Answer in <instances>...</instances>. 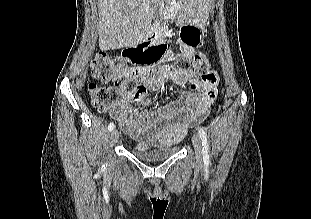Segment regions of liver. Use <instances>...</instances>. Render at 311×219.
Masks as SVG:
<instances>
[{"label":"liver","instance_id":"obj_1","mask_svg":"<svg viewBox=\"0 0 311 219\" xmlns=\"http://www.w3.org/2000/svg\"><path fill=\"white\" fill-rule=\"evenodd\" d=\"M161 0H98L99 47L114 50L136 46L150 31L152 19ZM191 15L203 17L210 0H180Z\"/></svg>","mask_w":311,"mask_h":219}]
</instances>
